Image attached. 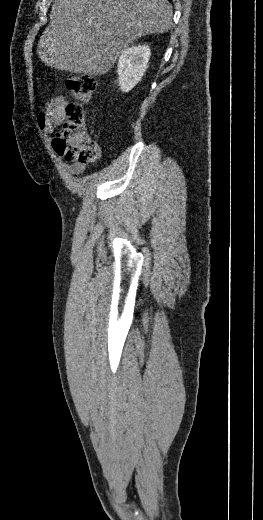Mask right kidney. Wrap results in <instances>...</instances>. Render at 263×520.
I'll return each mask as SVG.
<instances>
[{
    "label": "right kidney",
    "instance_id": "obj_1",
    "mask_svg": "<svg viewBox=\"0 0 263 520\" xmlns=\"http://www.w3.org/2000/svg\"><path fill=\"white\" fill-rule=\"evenodd\" d=\"M150 58L147 45L132 46L126 49L118 60V85L122 92H129L141 80Z\"/></svg>",
    "mask_w": 263,
    "mask_h": 520
}]
</instances>
